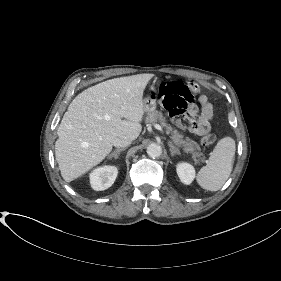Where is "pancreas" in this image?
Returning a JSON list of instances; mask_svg holds the SVG:
<instances>
[{"mask_svg": "<svg viewBox=\"0 0 281 281\" xmlns=\"http://www.w3.org/2000/svg\"><path fill=\"white\" fill-rule=\"evenodd\" d=\"M145 122L149 124L160 123L161 126L166 129L167 133L171 135L174 143L179 147H183L185 152L190 153L192 155V159L196 163H200L204 160L203 154L200 152L199 145L188 137L184 138V136L180 134L178 130L173 129L170 124H167L166 119L161 111L153 110L148 112Z\"/></svg>", "mask_w": 281, "mask_h": 281, "instance_id": "1", "label": "pancreas"}]
</instances>
